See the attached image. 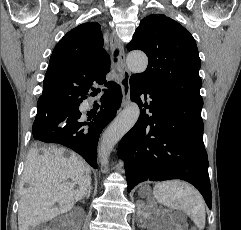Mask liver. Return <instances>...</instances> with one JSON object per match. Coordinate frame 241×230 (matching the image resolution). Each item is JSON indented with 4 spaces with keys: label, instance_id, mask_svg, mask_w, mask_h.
<instances>
[{
    "label": "liver",
    "instance_id": "6515ba94",
    "mask_svg": "<svg viewBox=\"0 0 241 230\" xmlns=\"http://www.w3.org/2000/svg\"><path fill=\"white\" fill-rule=\"evenodd\" d=\"M90 185V168L75 153L55 146L49 149L32 147L21 178L19 230H29L32 225L69 211Z\"/></svg>",
    "mask_w": 241,
    "mask_h": 230
}]
</instances>
